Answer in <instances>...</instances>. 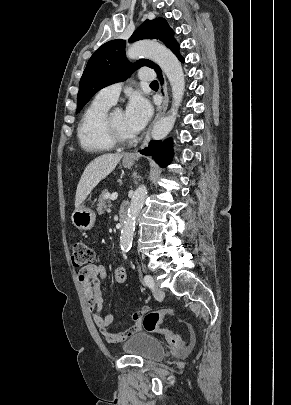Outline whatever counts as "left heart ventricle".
Listing matches in <instances>:
<instances>
[{
  "instance_id": "obj_1",
  "label": "left heart ventricle",
  "mask_w": 291,
  "mask_h": 405,
  "mask_svg": "<svg viewBox=\"0 0 291 405\" xmlns=\"http://www.w3.org/2000/svg\"><path fill=\"white\" fill-rule=\"evenodd\" d=\"M112 121L116 128V130L124 137L130 138L133 137L134 134L128 129L126 120H125V113L121 110H116L112 115Z\"/></svg>"
}]
</instances>
